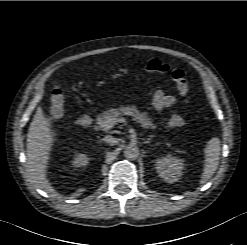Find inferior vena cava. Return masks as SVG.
I'll return each mask as SVG.
<instances>
[{"label":"inferior vena cava","instance_id":"602c4592","mask_svg":"<svg viewBox=\"0 0 247 245\" xmlns=\"http://www.w3.org/2000/svg\"><path fill=\"white\" fill-rule=\"evenodd\" d=\"M103 140L111 145H115L118 143V139L110 135L105 136Z\"/></svg>","mask_w":247,"mask_h":245}]
</instances>
